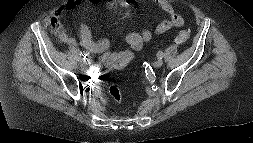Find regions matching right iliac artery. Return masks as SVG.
Wrapping results in <instances>:
<instances>
[{
  "label": "right iliac artery",
  "instance_id": "82829eb1",
  "mask_svg": "<svg viewBox=\"0 0 253 143\" xmlns=\"http://www.w3.org/2000/svg\"><path fill=\"white\" fill-rule=\"evenodd\" d=\"M86 56H87V54L81 52V53L79 54V56H78V58H79L78 61H83V60H85V59H86Z\"/></svg>",
  "mask_w": 253,
  "mask_h": 143
}]
</instances>
